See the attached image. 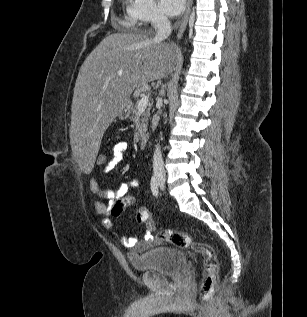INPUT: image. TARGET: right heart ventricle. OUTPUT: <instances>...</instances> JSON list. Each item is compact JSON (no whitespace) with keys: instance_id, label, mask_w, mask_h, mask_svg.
Here are the masks:
<instances>
[{"instance_id":"e07e8e85","label":"right heart ventricle","mask_w":307,"mask_h":317,"mask_svg":"<svg viewBox=\"0 0 307 317\" xmlns=\"http://www.w3.org/2000/svg\"><path fill=\"white\" fill-rule=\"evenodd\" d=\"M129 1V0H127ZM126 25L131 29L137 28V19L134 16L132 6L127 2L125 5Z\"/></svg>"}]
</instances>
